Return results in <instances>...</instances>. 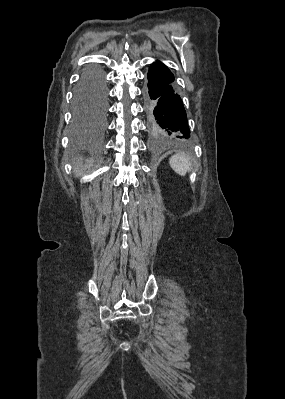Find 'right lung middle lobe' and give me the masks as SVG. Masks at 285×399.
<instances>
[{"mask_svg": "<svg viewBox=\"0 0 285 399\" xmlns=\"http://www.w3.org/2000/svg\"><path fill=\"white\" fill-rule=\"evenodd\" d=\"M106 85L100 69H87L75 90L74 118L79 124L101 117L106 110Z\"/></svg>", "mask_w": 285, "mask_h": 399, "instance_id": "1", "label": "right lung middle lobe"}]
</instances>
